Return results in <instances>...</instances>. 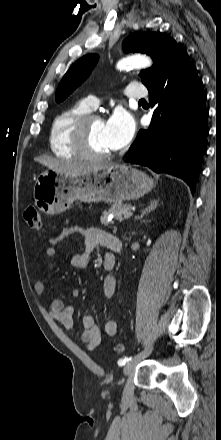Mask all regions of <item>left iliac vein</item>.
I'll return each mask as SVG.
<instances>
[{"instance_id":"4c4485c4","label":"left iliac vein","mask_w":221,"mask_h":440,"mask_svg":"<svg viewBox=\"0 0 221 440\" xmlns=\"http://www.w3.org/2000/svg\"><path fill=\"white\" fill-rule=\"evenodd\" d=\"M152 349H153V347L150 346L147 350H145V351L141 354V356L139 357L138 360L144 359L145 357H147L148 355H150V353L152 352ZM138 360H135V361L132 360V361H130L129 363H127V364L125 365L124 370H123V372H124L125 375H129L130 373H132V371L134 370V367L136 366Z\"/></svg>"}]
</instances>
